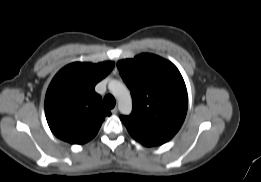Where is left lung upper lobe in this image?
Returning <instances> with one entry per match:
<instances>
[{
	"instance_id": "1",
	"label": "left lung upper lobe",
	"mask_w": 261,
	"mask_h": 182,
	"mask_svg": "<svg viewBox=\"0 0 261 182\" xmlns=\"http://www.w3.org/2000/svg\"><path fill=\"white\" fill-rule=\"evenodd\" d=\"M131 91L133 111L121 116L130 135L145 146L169 141L182 126L188 106L184 80L174 64L140 54L117 63Z\"/></svg>"
}]
</instances>
